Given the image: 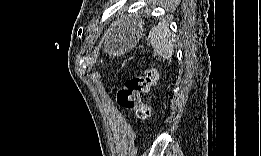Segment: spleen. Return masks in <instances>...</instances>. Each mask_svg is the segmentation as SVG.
Masks as SVG:
<instances>
[{
    "instance_id": "3e777b00",
    "label": "spleen",
    "mask_w": 261,
    "mask_h": 156,
    "mask_svg": "<svg viewBox=\"0 0 261 156\" xmlns=\"http://www.w3.org/2000/svg\"><path fill=\"white\" fill-rule=\"evenodd\" d=\"M168 25L159 22L153 27L148 35V42L154 51L164 59H170L174 53L173 37Z\"/></svg>"
}]
</instances>
